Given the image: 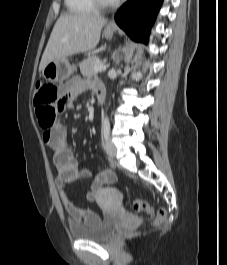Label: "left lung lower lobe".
Listing matches in <instances>:
<instances>
[{"label":"left lung lower lobe","instance_id":"0a47b994","mask_svg":"<svg viewBox=\"0 0 227 265\" xmlns=\"http://www.w3.org/2000/svg\"><path fill=\"white\" fill-rule=\"evenodd\" d=\"M163 0H129L117 12L116 23L135 41L147 43Z\"/></svg>","mask_w":227,"mask_h":265}]
</instances>
